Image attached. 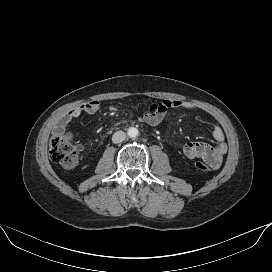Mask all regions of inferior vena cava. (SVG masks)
<instances>
[{"label":"inferior vena cava","mask_w":272,"mask_h":272,"mask_svg":"<svg viewBox=\"0 0 272 272\" xmlns=\"http://www.w3.org/2000/svg\"><path fill=\"white\" fill-rule=\"evenodd\" d=\"M126 139V134L123 131H117L112 136V142L115 144L121 143Z\"/></svg>","instance_id":"obj_1"}]
</instances>
